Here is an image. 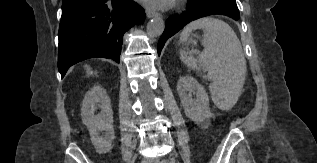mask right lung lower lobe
Wrapping results in <instances>:
<instances>
[{"label": "right lung lower lobe", "instance_id": "obj_1", "mask_svg": "<svg viewBox=\"0 0 317 163\" xmlns=\"http://www.w3.org/2000/svg\"><path fill=\"white\" fill-rule=\"evenodd\" d=\"M145 12L131 0H69L62 5L58 69L62 78L77 62L104 57L119 63L124 33Z\"/></svg>", "mask_w": 317, "mask_h": 163}]
</instances>
